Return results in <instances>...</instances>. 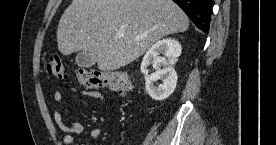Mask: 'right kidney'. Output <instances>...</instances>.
I'll return each mask as SVG.
<instances>
[{"label": "right kidney", "mask_w": 276, "mask_h": 145, "mask_svg": "<svg viewBox=\"0 0 276 145\" xmlns=\"http://www.w3.org/2000/svg\"><path fill=\"white\" fill-rule=\"evenodd\" d=\"M181 52L180 43L171 38L156 42L146 52L141 63V71L145 76L146 91L152 99L162 101L174 92L177 84V73L174 65ZM160 53L164 54V57H161ZM150 65H153L156 70L151 76L148 75ZM158 79H162V84L154 86V82Z\"/></svg>", "instance_id": "right-kidney-1"}]
</instances>
